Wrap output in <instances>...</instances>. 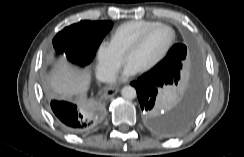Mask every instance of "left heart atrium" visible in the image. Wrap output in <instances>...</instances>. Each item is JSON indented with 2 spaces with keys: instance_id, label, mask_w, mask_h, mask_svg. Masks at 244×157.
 <instances>
[{
  "instance_id": "1",
  "label": "left heart atrium",
  "mask_w": 244,
  "mask_h": 157,
  "mask_svg": "<svg viewBox=\"0 0 244 157\" xmlns=\"http://www.w3.org/2000/svg\"><path fill=\"white\" fill-rule=\"evenodd\" d=\"M139 71V68L137 66H135L133 63L127 61L121 74L119 75V77L117 78V82L118 81H125L128 78H130L131 76H133L134 74H136Z\"/></svg>"
}]
</instances>
